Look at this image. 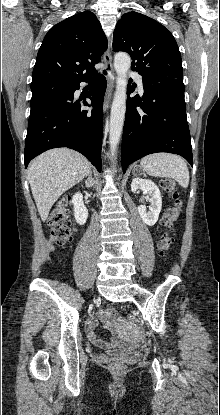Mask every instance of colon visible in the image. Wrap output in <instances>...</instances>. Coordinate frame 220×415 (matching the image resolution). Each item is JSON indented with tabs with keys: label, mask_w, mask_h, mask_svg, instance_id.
<instances>
[{
	"label": "colon",
	"mask_w": 220,
	"mask_h": 415,
	"mask_svg": "<svg viewBox=\"0 0 220 415\" xmlns=\"http://www.w3.org/2000/svg\"><path fill=\"white\" fill-rule=\"evenodd\" d=\"M162 188L172 197L173 205L164 211L161 219L162 235L158 241V248L166 254L171 247L173 241L172 227L178 219L182 202L176 193V186L173 180L164 178L161 181ZM72 208V201L70 197L59 200L57 205L51 211L49 216V228L51 241L58 245L64 246L72 240L73 228L69 222V212ZM106 315L109 319H115L118 312L115 308L109 307L106 309ZM124 363L115 361L112 367L116 370H122Z\"/></svg>",
	"instance_id": "5ec220e1"
}]
</instances>
